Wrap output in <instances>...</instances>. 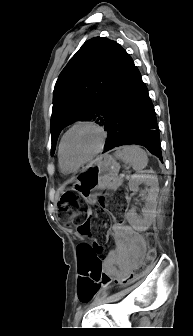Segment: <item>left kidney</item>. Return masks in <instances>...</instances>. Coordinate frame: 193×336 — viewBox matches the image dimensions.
Wrapping results in <instances>:
<instances>
[{
    "label": "left kidney",
    "instance_id": "5707ae66",
    "mask_svg": "<svg viewBox=\"0 0 193 336\" xmlns=\"http://www.w3.org/2000/svg\"><path fill=\"white\" fill-rule=\"evenodd\" d=\"M142 183L150 187L146 196V205L143 209V218H139L133 209L126 214L129 224L138 231H145L151 226L156 214V199L159 192L158 178L152 170L133 174L129 180V189L138 191L139 185Z\"/></svg>",
    "mask_w": 193,
    "mask_h": 336
}]
</instances>
